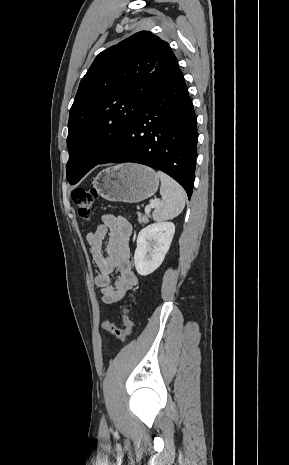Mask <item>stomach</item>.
I'll return each mask as SVG.
<instances>
[{"label": "stomach", "mask_w": 289, "mask_h": 465, "mask_svg": "<svg viewBox=\"0 0 289 465\" xmlns=\"http://www.w3.org/2000/svg\"><path fill=\"white\" fill-rule=\"evenodd\" d=\"M93 185L108 201L138 203L155 194L159 178L149 167L124 163L102 170L94 178Z\"/></svg>", "instance_id": "1"}]
</instances>
